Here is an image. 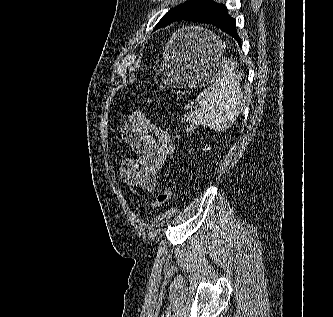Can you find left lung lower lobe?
<instances>
[{
	"instance_id": "obj_1",
	"label": "left lung lower lobe",
	"mask_w": 333,
	"mask_h": 317,
	"mask_svg": "<svg viewBox=\"0 0 333 317\" xmlns=\"http://www.w3.org/2000/svg\"><path fill=\"white\" fill-rule=\"evenodd\" d=\"M181 20L215 25L232 36L241 46V39L236 29V21L228 14L224 4L211 1L202 7L190 11Z\"/></svg>"
}]
</instances>
